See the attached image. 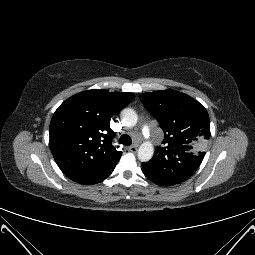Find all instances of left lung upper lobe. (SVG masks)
I'll return each instance as SVG.
<instances>
[{
  "label": "left lung upper lobe",
  "mask_w": 255,
  "mask_h": 255,
  "mask_svg": "<svg viewBox=\"0 0 255 255\" xmlns=\"http://www.w3.org/2000/svg\"><path fill=\"white\" fill-rule=\"evenodd\" d=\"M140 99L165 134L163 145L156 148L153 158L142 163L143 172L170 185L186 181L205 155L210 137L206 109L192 97L171 89L144 93Z\"/></svg>",
  "instance_id": "obj_1"
}]
</instances>
